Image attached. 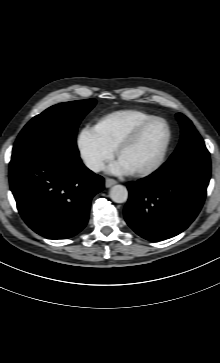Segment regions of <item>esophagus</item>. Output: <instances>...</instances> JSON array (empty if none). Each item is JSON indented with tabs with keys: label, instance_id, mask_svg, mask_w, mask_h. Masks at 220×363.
<instances>
[{
	"label": "esophagus",
	"instance_id": "obj_1",
	"mask_svg": "<svg viewBox=\"0 0 220 363\" xmlns=\"http://www.w3.org/2000/svg\"><path fill=\"white\" fill-rule=\"evenodd\" d=\"M116 183H117V181H116V180H114V179H111V178H106V179H105V186H106L107 188H109V187H111V186L115 185Z\"/></svg>",
	"mask_w": 220,
	"mask_h": 363
}]
</instances>
